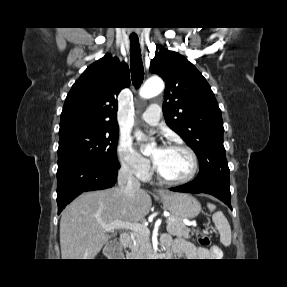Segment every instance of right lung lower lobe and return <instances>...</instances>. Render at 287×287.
<instances>
[{"mask_svg": "<svg viewBox=\"0 0 287 287\" xmlns=\"http://www.w3.org/2000/svg\"><path fill=\"white\" fill-rule=\"evenodd\" d=\"M118 169L92 163H73L57 171L58 213L75 197L86 191L112 187Z\"/></svg>", "mask_w": 287, "mask_h": 287, "instance_id": "98d812e1", "label": "right lung lower lobe"}]
</instances>
